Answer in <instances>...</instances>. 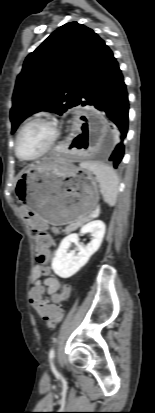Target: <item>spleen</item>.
<instances>
[{
  "label": "spleen",
  "mask_w": 155,
  "mask_h": 413,
  "mask_svg": "<svg viewBox=\"0 0 155 413\" xmlns=\"http://www.w3.org/2000/svg\"><path fill=\"white\" fill-rule=\"evenodd\" d=\"M80 167L92 172L96 176L103 200L109 206H114L118 194L119 180L113 168L97 162H83L80 164Z\"/></svg>",
  "instance_id": "1"
}]
</instances>
